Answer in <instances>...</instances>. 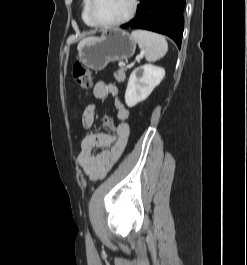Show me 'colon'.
Returning a JSON list of instances; mask_svg holds the SVG:
<instances>
[{
    "label": "colon",
    "instance_id": "1",
    "mask_svg": "<svg viewBox=\"0 0 247 265\" xmlns=\"http://www.w3.org/2000/svg\"><path fill=\"white\" fill-rule=\"evenodd\" d=\"M72 74H73V77L76 83L83 91H88L92 87L91 73L82 64L80 63L74 64L72 68ZM102 121H103V125L107 129H109L113 133L116 132V125L110 116L104 115L102 118Z\"/></svg>",
    "mask_w": 247,
    "mask_h": 265
}]
</instances>
